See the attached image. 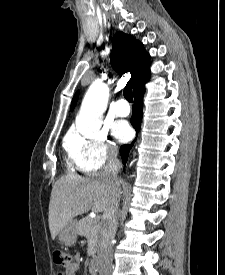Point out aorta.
Returning <instances> with one entry per match:
<instances>
[{
  "instance_id": "1",
  "label": "aorta",
  "mask_w": 225,
  "mask_h": 275,
  "mask_svg": "<svg viewBox=\"0 0 225 275\" xmlns=\"http://www.w3.org/2000/svg\"><path fill=\"white\" fill-rule=\"evenodd\" d=\"M109 88L102 81H94L83 99L76 117L77 131L86 138H92L99 131L102 116L107 107Z\"/></svg>"
}]
</instances>
